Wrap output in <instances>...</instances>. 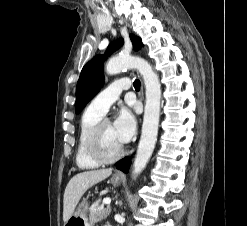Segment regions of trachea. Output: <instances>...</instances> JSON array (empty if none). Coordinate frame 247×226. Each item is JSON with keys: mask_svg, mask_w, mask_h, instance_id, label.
Wrapping results in <instances>:
<instances>
[{"mask_svg": "<svg viewBox=\"0 0 247 226\" xmlns=\"http://www.w3.org/2000/svg\"><path fill=\"white\" fill-rule=\"evenodd\" d=\"M133 86H134L135 90H137V91L140 90V81L136 79L133 82Z\"/></svg>", "mask_w": 247, "mask_h": 226, "instance_id": "obj_1", "label": "trachea"}]
</instances>
